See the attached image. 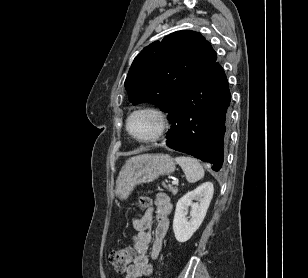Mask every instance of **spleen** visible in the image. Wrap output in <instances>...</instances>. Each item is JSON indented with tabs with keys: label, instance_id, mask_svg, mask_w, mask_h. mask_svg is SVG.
<instances>
[{
	"label": "spleen",
	"instance_id": "obj_1",
	"mask_svg": "<svg viewBox=\"0 0 308 278\" xmlns=\"http://www.w3.org/2000/svg\"><path fill=\"white\" fill-rule=\"evenodd\" d=\"M175 161L180 165L189 183H195L204 177V169L200 162L192 157L180 156Z\"/></svg>",
	"mask_w": 308,
	"mask_h": 278
}]
</instances>
